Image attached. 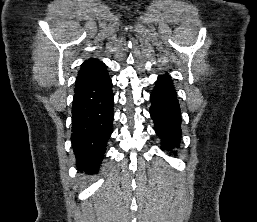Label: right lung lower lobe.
Returning a JSON list of instances; mask_svg holds the SVG:
<instances>
[{
  "label": "right lung lower lobe",
  "instance_id": "98d812e1",
  "mask_svg": "<svg viewBox=\"0 0 257 222\" xmlns=\"http://www.w3.org/2000/svg\"><path fill=\"white\" fill-rule=\"evenodd\" d=\"M71 141L78 169L97 173L112 133L113 92L108 73L75 90Z\"/></svg>",
  "mask_w": 257,
  "mask_h": 222
}]
</instances>
